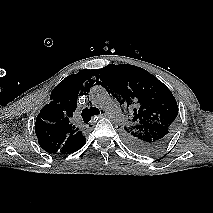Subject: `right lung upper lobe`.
I'll return each mask as SVG.
<instances>
[{
  "label": "right lung upper lobe",
  "instance_id": "1",
  "mask_svg": "<svg viewBox=\"0 0 213 213\" xmlns=\"http://www.w3.org/2000/svg\"><path fill=\"white\" fill-rule=\"evenodd\" d=\"M96 70H80L62 80L51 92V102L38 114L35 133L38 143L49 153L68 154L76 149L85 136L72 124L77 98L88 93Z\"/></svg>",
  "mask_w": 213,
  "mask_h": 213
}]
</instances>
